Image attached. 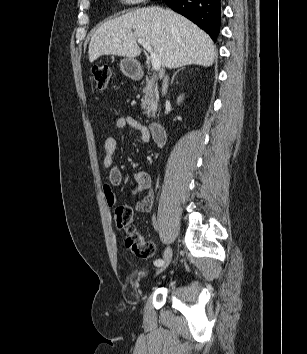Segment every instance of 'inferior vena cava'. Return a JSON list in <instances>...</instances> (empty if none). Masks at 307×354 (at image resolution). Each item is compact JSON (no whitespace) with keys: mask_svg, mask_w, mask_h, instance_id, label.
I'll return each mask as SVG.
<instances>
[{"mask_svg":"<svg viewBox=\"0 0 307 354\" xmlns=\"http://www.w3.org/2000/svg\"><path fill=\"white\" fill-rule=\"evenodd\" d=\"M167 87H168V77L166 76L163 80V84H162V93L165 94L167 91Z\"/></svg>","mask_w":307,"mask_h":354,"instance_id":"1","label":"inferior vena cava"}]
</instances>
